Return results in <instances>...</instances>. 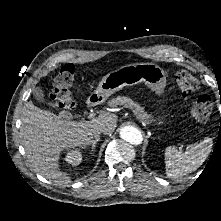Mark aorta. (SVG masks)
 Listing matches in <instances>:
<instances>
[{"instance_id": "1", "label": "aorta", "mask_w": 221, "mask_h": 221, "mask_svg": "<svg viewBox=\"0 0 221 221\" xmlns=\"http://www.w3.org/2000/svg\"><path fill=\"white\" fill-rule=\"evenodd\" d=\"M120 137L133 145H139L143 141L141 132L133 126L121 128Z\"/></svg>"}]
</instances>
